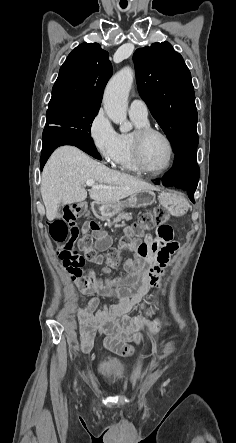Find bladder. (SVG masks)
<instances>
[{
	"label": "bladder",
	"instance_id": "obj_1",
	"mask_svg": "<svg viewBox=\"0 0 236 443\" xmlns=\"http://www.w3.org/2000/svg\"><path fill=\"white\" fill-rule=\"evenodd\" d=\"M124 371L123 362L115 357L104 356L99 361L98 372L102 378L119 379L123 377Z\"/></svg>",
	"mask_w": 236,
	"mask_h": 443
}]
</instances>
